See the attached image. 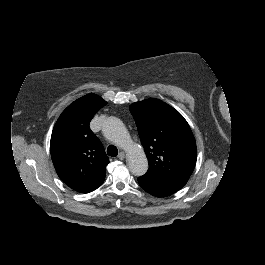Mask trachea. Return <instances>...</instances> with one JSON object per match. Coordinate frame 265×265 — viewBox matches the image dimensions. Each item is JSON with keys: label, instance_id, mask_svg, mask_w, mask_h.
Here are the masks:
<instances>
[{"label": "trachea", "instance_id": "trachea-1", "mask_svg": "<svg viewBox=\"0 0 265 265\" xmlns=\"http://www.w3.org/2000/svg\"><path fill=\"white\" fill-rule=\"evenodd\" d=\"M107 154H108L109 156L115 157V156L118 155V149H117L115 146L110 145V146H108V148H107Z\"/></svg>", "mask_w": 265, "mask_h": 265}]
</instances>
